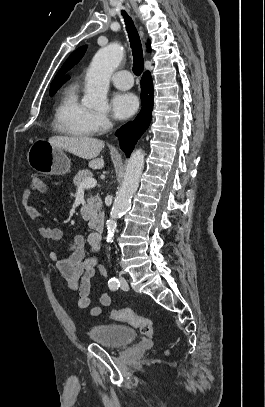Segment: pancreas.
Instances as JSON below:
<instances>
[{
    "label": "pancreas",
    "instance_id": "cf45deb5",
    "mask_svg": "<svg viewBox=\"0 0 265 407\" xmlns=\"http://www.w3.org/2000/svg\"><path fill=\"white\" fill-rule=\"evenodd\" d=\"M93 178V174L90 170H82L77 173V175L73 179L74 185L79 188L81 183L86 180ZM102 205L101 198L97 194L94 197H90L87 199V204L82 207L81 212L85 218H90L93 213H96L100 210Z\"/></svg>",
    "mask_w": 265,
    "mask_h": 407
}]
</instances>
